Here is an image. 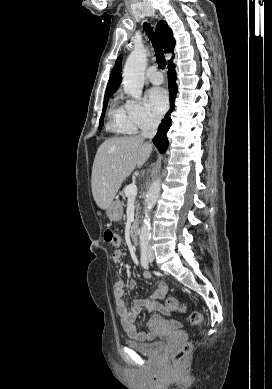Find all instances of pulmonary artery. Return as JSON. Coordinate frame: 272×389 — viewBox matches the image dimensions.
Here are the masks:
<instances>
[{
	"instance_id": "pulmonary-artery-1",
	"label": "pulmonary artery",
	"mask_w": 272,
	"mask_h": 389,
	"mask_svg": "<svg viewBox=\"0 0 272 389\" xmlns=\"http://www.w3.org/2000/svg\"><path fill=\"white\" fill-rule=\"evenodd\" d=\"M149 81L154 85H160L163 83V75L158 71H153L148 76Z\"/></svg>"
}]
</instances>
